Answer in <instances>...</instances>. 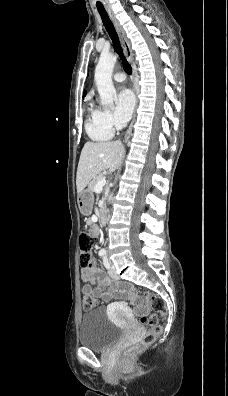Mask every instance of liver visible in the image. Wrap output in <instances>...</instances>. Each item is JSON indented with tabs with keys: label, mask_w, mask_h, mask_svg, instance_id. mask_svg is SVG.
<instances>
[{
	"label": "liver",
	"mask_w": 228,
	"mask_h": 396,
	"mask_svg": "<svg viewBox=\"0 0 228 396\" xmlns=\"http://www.w3.org/2000/svg\"><path fill=\"white\" fill-rule=\"evenodd\" d=\"M124 153V146L120 141L86 142L77 169V193L80 194L101 171L114 172L122 163Z\"/></svg>",
	"instance_id": "liver-1"
}]
</instances>
